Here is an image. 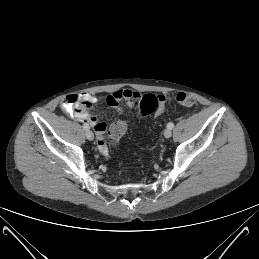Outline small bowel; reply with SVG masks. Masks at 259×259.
<instances>
[{
  "label": "small bowel",
  "mask_w": 259,
  "mask_h": 259,
  "mask_svg": "<svg viewBox=\"0 0 259 259\" xmlns=\"http://www.w3.org/2000/svg\"><path fill=\"white\" fill-rule=\"evenodd\" d=\"M140 96L137 91L131 89H119L109 94L106 97V102L109 106L115 107L120 110L119 104L126 102L128 106H134L135 100ZM159 105L156 116L161 115L166 106L167 96H158ZM97 102V98L89 93H81L77 95L66 96L62 101V107L67 112L71 113L73 117L78 120L88 122L96 133L97 144L102 154H107L108 148L105 143V132L107 125L88 112L91 104Z\"/></svg>",
  "instance_id": "c3829d8e"
}]
</instances>
